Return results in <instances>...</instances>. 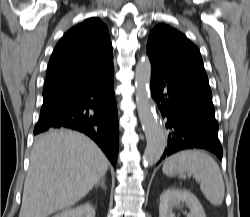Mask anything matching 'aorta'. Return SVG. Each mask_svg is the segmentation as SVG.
Here are the masks:
<instances>
[{
	"label": "aorta",
	"mask_w": 250,
	"mask_h": 217,
	"mask_svg": "<svg viewBox=\"0 0 250 217\" xmlns=\"http://www.w3.org/2000/svg\"><path fill=\"white\" fill-rule=\"evenodd\" d=\"M150 78L151 63L148 57H143L135 69V97L138 116L147 140L143 155V163L147 166L154 165L160 160L166 146L164 129L148 92Z\"/></svg>",
	"instance_id": "762f6f07"
}]
</instances>
